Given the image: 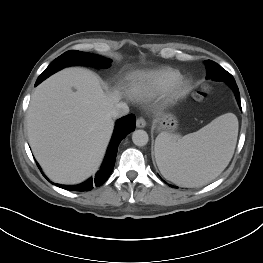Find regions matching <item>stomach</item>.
I'll return each instance as SVG.
<instances>
[{"instance_id":"obj_1","label":"stomach","mask_w":263,"mask_h":263,"mask_svg":"<svg viewBox=\"0 0 263 263\" xmlns=\"http://www.w3.org/2000/svg\"><path fill=\"white\" fill-rule=\"evenodd\" d=\"M177 125L175 117L171 114H165L155 121V126L158 129L171 130Z\"/></svg>"}]
</instances>
